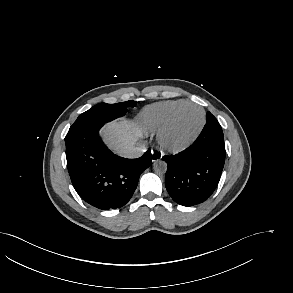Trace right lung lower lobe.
Listing matches in <instances>:
<instances>
[{"instance_id": "1", "label": "right lung lower lobe", "mask_w": 293, "mask_h": 293, "mask_svg": "<svg viewBox=\"0 0 293 293\" xmlns=\"http://www.w3.org/2000/svg\"><path fill=\"white\" fill-rule=\"evenodd\" d=\"M99 129L83 131L66 141L69 175L76 192L90 205L102 210L121 208L132 197L140 174L151 166L152 155L119 157L101 141Z\"/></svg>"}]
</instances>
